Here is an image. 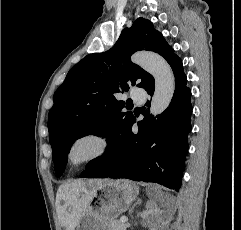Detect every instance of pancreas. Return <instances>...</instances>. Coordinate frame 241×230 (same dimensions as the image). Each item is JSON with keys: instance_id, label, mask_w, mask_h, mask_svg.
<instances>
[{"instance_id": "1", "label": "pancreas", "mask_w": 241, "mask_h": 230, "mask_svg": "<svg viewBox=\"0 0 241 230\" xmlns=\"http://www.w3.org/2000/svg\"><path fill=\"white\" fill-rule=\"evenodd\" d=\"M110 230H126V225L121 221L114 220L109 224Z\"/></svg>"}]
</instances>
